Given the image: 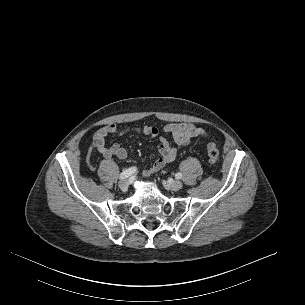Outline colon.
Returning <instances> with one entry per match:
<instances>
[{
    "instance_id": "1",
    "label": "colon",
    "mask_w": 305,
    "mask_h": 305,
    "mask_svg": "<svg viewBox=\"0 0 305 305\" xmlns=\"http://www.w3.org/2000/svg\"><path fill=\"white\" fill-rule=\"evenodd\" d=\"M207 152L210 165L215 166L219 159V151L217 146L213 142H209L207 144Z\"/></svg>"
}]
</instances>
